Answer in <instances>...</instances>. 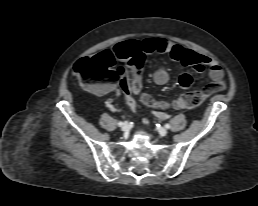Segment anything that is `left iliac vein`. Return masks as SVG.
Here are the masks:
<instances>
[{"instance_id": "obj_1", "label": "left iliac vein", "mask_w": 258, "mask_h": 206, "mask_svg": "<svg viewBox=\"0 0 258 206\" xmlns=\"http://www.w3.org/2000/svg\"><path fill=\"white\" fill-rule=\"evenodd\" d=\"M159 134H160L161 136H166V135H167V130H166L165 128L161 127V128L159 129Z\"/></svg>"}]
</instances>
